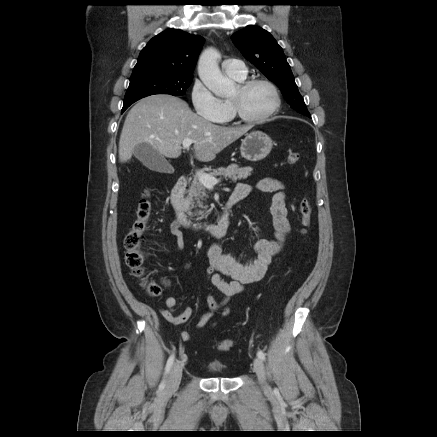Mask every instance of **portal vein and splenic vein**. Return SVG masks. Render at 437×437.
Returning a JSON list of instances; mask_svg holds the SVG:
<instances>
[{
  "label": "portal vein and splenic vein",
  "instance_id": "obj_1",
  "mask_svg": "<svg viewBox=\"0 0 437 437\" xmlns=\"http://www.w3.org/2000/svg\"><path fill=\"white\" fill-rule=\"evenodd\" d=\"M195 141L191 140V139H184L183 140V148L184 149H188L192 143H194ZM196 177L198 178L199 182L201 184H203L206 188L208 189H212L214 187V185H216L217 183L220 182L219 179H216L213 176H210L209 174H206L205 172L202 171H198L196 173Z\"/></svg>",
  "mask_w": 437,
  "mask_h": 437
}]
</instances>
